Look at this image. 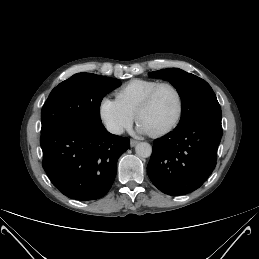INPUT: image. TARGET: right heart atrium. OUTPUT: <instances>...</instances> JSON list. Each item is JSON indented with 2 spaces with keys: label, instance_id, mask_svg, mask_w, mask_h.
<instances>
[{
  "label": "right heart atrium",
  "instance_id": "1",
  "mask_svg": "<svg viewBox=\"0 0 259 259\" xmlns=\"http://www.w3.org/2000/svg\"><path fill=\"white\" fill-rule=\"evenodd\" d=\"M98 114L106 128L114 134L122 133L134 121V116L126 111L116 99L109 96L101 99Z\"/></svg>",
  "mask_w": 259,
  "mask_h": 259
}]
</instances>
